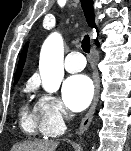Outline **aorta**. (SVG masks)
Returning a JSON list of instances; mask_svg holds the SVG:
<instances>
[{"label": "aorta", "instance_id": "1", "mask_svg": "<svg viewBox=\"0 0 131 151\" xmlns=\"http://www.w3.org/2000/svg\"><path fill=\"white\" fill-rule=\"evenodd\" d=\"M63 39L60 34L52 33L44 42L39 62L43 88L48 92L59 89L63 80Z\"/></svg>", "mask_w": 131, "mask_h": 151}]
</instances>
